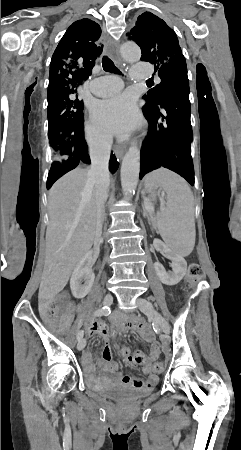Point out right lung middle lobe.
<instances>
[{"label":"right lung middle lobe","instance_id":"right-lung-middle-lobe-1","mask_svg":"<svg viewBox=\"0 0 241 450\" xmlns=\"http://www.w3.org/2000/svg\"><path fill=\"white\" fill-rule=\"evenodd\" d=\"M83 108L77 90H69L59 97L48 99V136L53 161L73 155V148L61 131L66 126L84 122Z\"/></svg>","mask_w":241,"mask_h":450}]
</instances>
